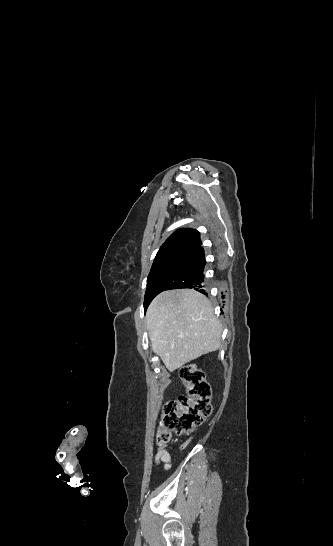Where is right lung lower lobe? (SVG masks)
<instances>
[{"instance_id":"obj_1","label":"right lung lower lobe","mask_w":333,"mask_h":546,"mask_svg":"<svg viewBox=\"0 0 333 546\" xmlns=\"http://www.w3.org/2000/svg\"><path fill=\"white\" fill-rule=\"evenodd\" d=\"M205 264L204 249L201 245L187 251L160 277L155 296L162 291L178 288H193L207 295L202 285ZM149 303L144 304L145 310Z\"/></svg>"}]
</instances>
